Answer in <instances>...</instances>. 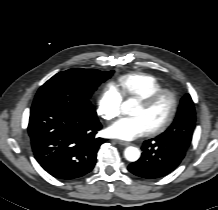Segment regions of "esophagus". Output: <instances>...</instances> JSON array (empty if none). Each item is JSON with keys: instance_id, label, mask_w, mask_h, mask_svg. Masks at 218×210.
<instances>
[{"instance_id": "obj_1", "label": "esophagus", "mask_w": 218, "mask_h": 210, "mask_svg": "<svg viewBox=\"0 0 218 210\" xmlns=\"http://www.w3.org/2000/svg\"><path fill=\"white\" fill-rule=\"evenodd\" d=\"M116 142L122 146H129L131 144L130 142H126L122 140H116Z\"/></svg>"}]
</instances>
